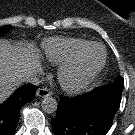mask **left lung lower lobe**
Listing matches in <instances>:
<instances>
[{
  "mask_svg": "<svg viewBox=\"0 0 135 135\" xmlns=\"http://www.w3.org/2000/svg\"><path fill=\"white\" fill-rule=\"evenodd\" d=\"M123 85L113 83L90 94L60 98L57 115L51 119L55 135H105L119 108Z\"/></svg>",
  "mask_w": 135,
  "mask_h": 135,
  "instance_id": "obj_1",
  "label": "left lung lower lobe"
}]
</instances>
